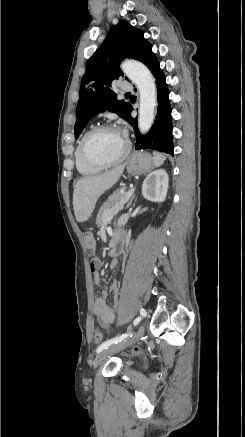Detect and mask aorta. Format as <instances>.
Wrapping results in <instances>:
<instances>
[{
    "mask_svg": "<svg viewBox=\"0 0 245 437\" xmlns=\"http://www.w3.org/2000/svg\"><path fill=\"white\" fill-rule=\"evenodd\" d=\"M121 68L140 93L138 127L140 132L145 134L152 127L155 117L157 103L155 81L149 69L139 61L126 60L122 63Z\"/></svg>",
    "mask_w": 245,
    "mask_h": 437,
    "instance_id": "aorta-1",
    "label": "aorta"
}]
</instances>
